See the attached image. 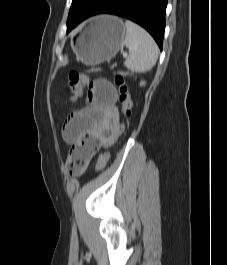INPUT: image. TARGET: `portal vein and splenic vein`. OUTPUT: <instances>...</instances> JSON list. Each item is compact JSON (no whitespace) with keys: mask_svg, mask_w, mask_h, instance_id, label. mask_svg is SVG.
<instances>
[{"mask_svg":"<svg viewBox=\"0 0 227 265\" xmlns=\"http://www.w3.org/2000/svg\"><path fill=\"white\" fill-rule=\"evenodd\" d=\"M128 56L127 53H123V57L126 58Z\"/></svg>","mask_w":227,"mask_h":265,"instance_id":"18ae733b","label":"portal vein and splenic vein"}]
</instances>
